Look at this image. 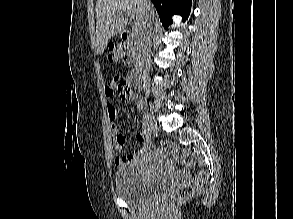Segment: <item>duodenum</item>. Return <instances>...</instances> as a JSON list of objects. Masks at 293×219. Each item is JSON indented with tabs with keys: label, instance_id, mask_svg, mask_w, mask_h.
<instances>
[{
	"label": "duodenum",
	"instance_id": "obj_1",
	"mask_svg": "<svg viewBox=\"0 0 293 219\" xmlns=\"http://www.w3.org/2000/svg\"><path fill=\"white\" fill-rule=\"evenodd\" d=\"M123 43L135 56V68L128 75V83L135 89H140L145 83V56L144 47L139 36L129 30L122 33Z\"/></svg>",
	"mask_w": 293,
	"mask_h": 219
}]
</instances>
